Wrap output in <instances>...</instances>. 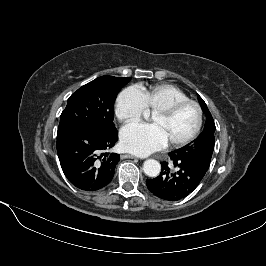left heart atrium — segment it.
Returning <instances> with one entry per match:
<instances>
[{
    "label": "left heart atrium",
    "instance_id": "obj_1",
    "mask_svg": "<svg viewBox=\"0 0 266 266\" xmlns=\"http://www.w3.org/2000/svg\"><path fill=\"white\" fill-rule=\"evenodd\" d=\"M121 143L126 151L144 156L165 147L168 141L156 124L132 123L122 129Z\"/></svg>",
    "mask_w": 266,
    "mask_h": 266
}]
</instances>
